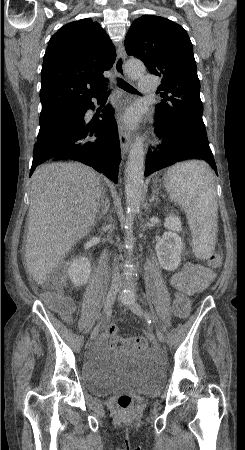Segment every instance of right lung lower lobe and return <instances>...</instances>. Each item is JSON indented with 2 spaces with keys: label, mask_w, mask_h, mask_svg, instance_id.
Returning a JSON list of instances; mask_svg holds the SVG:
<instances>
[{
  "label": "right lung lower lobe",
  "mask_w": 245,
  "mask_h": 450,
  "mask_svg": "<svg viewBox=\"0 0 245 450\" xmlns=\"http://www.w3.org/2000/svg\"><path fill=\"white\" fill-rule=\"evenodd\" d=\"M101 92L93 97L99 99ZM93 108L91 99L87 100L55 121L49 133L37 141L30 176L41 162L58 158L84 162L118 182L121 155L116 124L111 120L113 109L107 105L102 110V121L88 122L85 113Z\"/></svg>",
  "instance_id": "obj_1"
}]
</instances>
